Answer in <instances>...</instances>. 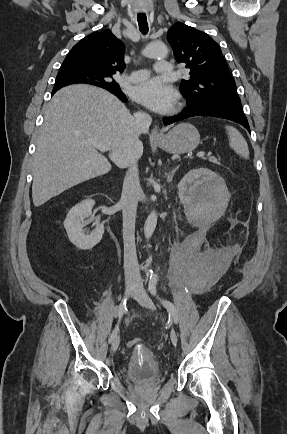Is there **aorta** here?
<instances>
[{"mask_svg": "<svg viewBox=\"0 0 287 434\" xmlns=\"http://www.w3.org/2000/svg\"><path fill=\"white\" fill-rule=\"evenodd\" d=\"M168 54L167 46L162 42H153L149 44L143 51V55L148 58H164ZM157 213L152 211L147 217L144 224V235L147 240H149L154 233V230L157 225ZM150 264V261H147V266Z\"/></svg>", "mask_w": 287, "mask_h": 434, "instance_id": "1", "label": "aorta"}]
</instances>
